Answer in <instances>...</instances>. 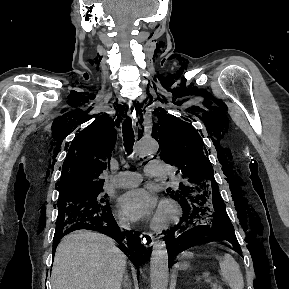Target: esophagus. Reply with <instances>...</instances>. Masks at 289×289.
<instances>
[{"label": "esophagus", "mask_w": 289, "mask_h": 289, "mask_svg": "<svg viewBox=\"0 0 289 289\" xmlns=\"http://www.w3.org/2000/svg\"><path fill=\"white\" fill-rule=\"evenodd\" d=\"M128 115H129L130 117H133V118H134V112H133V108H132V105H131V104H129ZM134 125H135L136 129H138L137 126H136V125H137V124H136V120H135ZM137 134H138V130H137ZM142 237H143V242H144L147 246L153 245L154 240H155V237H154V235H153L152 233L144 232V233L142 234Z\"/></svg>", "instance_id": "34e87169"}]
</instances>
